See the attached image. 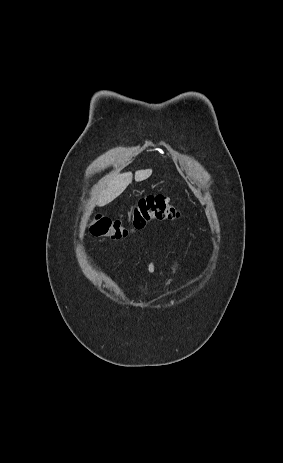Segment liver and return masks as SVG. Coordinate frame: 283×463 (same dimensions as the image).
Returning a JSON list of instances; mask_svg holds the SVG:
<instances>
[{
  "instance_id": "obj_1",
  "label": "liver",
  "mask_w": 283,
  "mask_h": 463,
  "mask_svg": "<svg viewBox=\"0 0 283 463\" xmlns=\"http://www.w3.org/2000/svg\"><path fill=\"white\" fill-rule=\"evenodd\" d=\"M152 169L138 170L135 172V181L140 182L149 178ZM132 181V175L129 172L113 176L107 183V187L100 191L97 198L99 207L105 206L116 199Z\"/></svg>"
}]
</instances>
